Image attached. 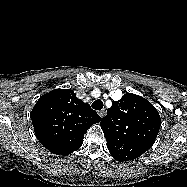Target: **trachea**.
Returning <instances> with one entry per match:
<instances>
[{
  "mask_svg": "<svg viewBox=\"0 0 187 187\" xmlns=\"http://www.w3.org/2000/svg\"><path fill=\"white\" fill-rule=\"evenodd\" d=\"M104 104H103V101L101 100H95L93 103H92V108L95 109V110H101L103 108Z\"/></svg>",
  "mask_w": 187,
  "mask_h": 187,
  "instance_id": "trachea-1",
  "label": "trachea"
}]
</instances>
